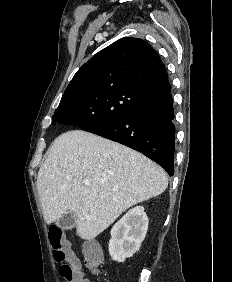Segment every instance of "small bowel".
Returning <instances> with one entry per match:
<instances>
[{
  "mask_svg": "<svg viewBox=\"0 0 232 282\" xmlns=\"http://www.w3.org/2000/svg\"><path fill=\"white\" fill-rule=\"evenodd\" d=\"M71 255H72L73 257H75L73 254H71ZM75 258H76V257H75ZM76 260H77V262H79L77 258H76ZM80 282H90L89 279L85 278L83 272H82V278H81V281H80Z\"/></svg>",
  "mask_w": 232,
  "mask_h": 282,
  "instance_id": "obj_1",
  "label": "small bowel"
}]
</instances>
